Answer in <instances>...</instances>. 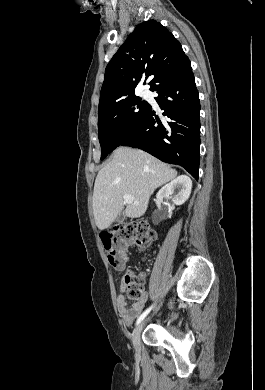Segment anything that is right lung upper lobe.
I'll use <instances>...</instances> for the list:
<instances>
[{
  "instance_id": "1",
  "label": "right lung upper lobe",
  "mask_w": 265,
  "mask_h": 390,
  "mask_svg": "<svg viewBox=\"0 0 265 390\" xmlns=\"http://www.w3.org/2000/svg\"><path fill=\"white\" fill-rule=\"evenodd\" d=\"M189 62L181 44L163 25L148 20L136 26L105 69L98 112L135 96L147 78L150 90Z\"/></svg>"
}]
</instances>
